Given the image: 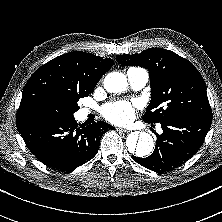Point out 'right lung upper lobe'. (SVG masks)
<instances>
[{"instance_id": "obj_1", "label": "right lung upper lobe", "mask_w": 222, "mask_h": 222, "mask_svg": "<svg viewBox=\"0 0 222 222\" xmlns=\"http://www.w3.org/2000/svg\"><path fill=\"white\" fill-rule=\"evenodd\" d=\"M113 60L73 51L42 65L26 83L16 121L41 116L43 102L52 95L90 94Z\"/></svg>"}]
</instances>
